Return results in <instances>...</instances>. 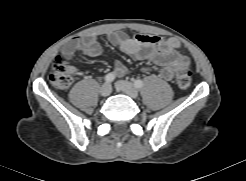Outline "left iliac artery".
<instances>
[{
	"mask_svg": "<svg viewBox=\"0 0 246 181\" xmlns=\"http://www.w3.org/2000/svg\"><path fill=\"white\" fill-rule=\"evenodd\" d=\"M136 88H141L143 86V81L138 79L134 82Z\"/></svg>",
	"mask_w": 246,
	"mask_h": 181,
	"instance_id": "1",
	"label": "left iliac artery"
}]
</instances>
